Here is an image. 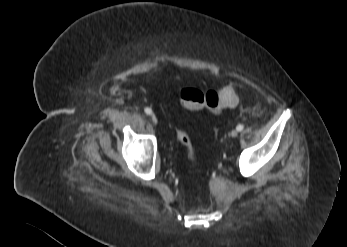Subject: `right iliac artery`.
<instances>
[{
    "instance_id": "obj_1",
    "label": "right iliac artery",
    "mask_w": 347,
    "mask_h": 247,
    "mask_svg": "<svg viewBox=\"0 0 347 247\" xmlns=\"http://www.w3.org/2000/svg\"><path fill=\"white\" fill-rule=\"evenodd\" d=\"M144 111H145L146 114H149V115L152 114V110L150 108H148V107H146L144 109Z\"/></svg>"
}]
</instances>
